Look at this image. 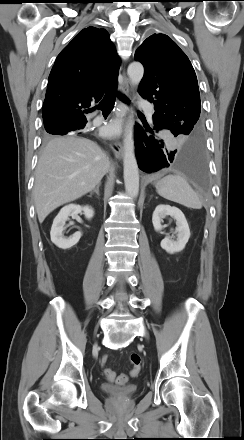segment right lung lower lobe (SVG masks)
I'll list each match as a JSON object with an SVG mask.
<instances>
[{"label": "right lung lower lobe", "instance_id": "1", "mask_svg": "<svg viewBox=\"0 0 244 440\" xmlns=\"http://www.w3.org/2000/svg\"><path fill=\"white\" fill-rule=\"evenodd\" d=\"M87 123V120L81 123L77 122H65L62 125H57V127H61V129L64 131L65 134H67L70 131H77L78 133H81V131L84 129L85 125Z\"/></svg>", "mask_w": 244, "mask_h": 440}]
</instances>
